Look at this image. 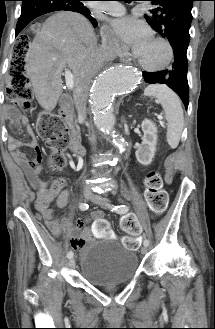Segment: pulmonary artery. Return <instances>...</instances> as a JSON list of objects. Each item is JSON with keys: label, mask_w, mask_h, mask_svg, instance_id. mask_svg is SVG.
I'll list each match as a JSON object with an SVG mask.
<instances>
[{"label": "pulmonary artery", "mask_w": 215, "mask_h": 329, "mask_svg": "<svg viewBox=\"0 0 215 329\" xmlns=\"http://www.w3.org/2000/svg\"><path fill=\"white\" fill-rule=\"evenodd\" d=\"M94 7L100 11L114 16H119L125 13V7L118 2L94 4Z\"/></svg>", "instance_id": "1"}]
</instances>
